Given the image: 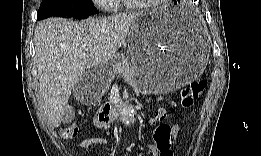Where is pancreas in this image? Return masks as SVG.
I'll return each mask as SVG.
<instances>
[{"mask_svg":"<svg viewBox=\"0 0 261 156\" xmlns=\"http://www.w3.org/2000/svg\"><path fill=\"white\" fill-rule=\"evenodd\" d=\"M137 68L135 65L125 64L122 67H116L112 70L111 76L114 77L117 74L123 75H135Z\"/></svg>","mask_w":261,"mask_h":156,"instance_id":"1","label":"pancreas"}]
</instances>
